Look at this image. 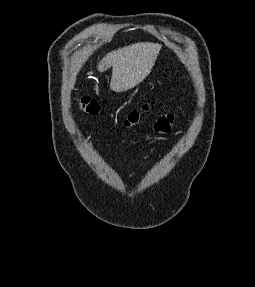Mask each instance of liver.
<instances>
[{
	"mask_svg": "<svg viewBox=\"0 0 255 287\" xmlns=\"http://www.w3.org/2000/svg\"><path fill=\"white\" fill-rule=\"evenodd\" d=\"M161 50V44L141 42L109 52L100 64L99 72L113 68L110 88L113 92H127L138 86L150 74Z\"/></svg>",
	"mask_w": 255,
	"mask_h": 287,
	"instance_id": "obj_1",
	"label": "liver"
}]
</instances>
